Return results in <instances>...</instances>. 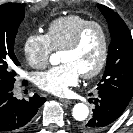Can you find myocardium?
<instances>
[{
  "instance_id": "obj_1",
  "label": "myocardium",
  "mask_w": 133,
  "mask_h": 133,
  "mask_svg": "<svg viewBox=\"0 0 133 133\" xmlns=\"http://www.w3.org/2000/svg\"><path fill=\"white\" fill-rule=\"evenodd\" d=\"M91 28H97L100 31L102 36V49L97 65L92 70L81 74V76L85 79H91L99 75L107 64L109 57L110 39L106 27L98 21H88L77 31L71 41L62 48L63 51H72L77 49L82 43L87 31Z\"/></svg>"
}]
</instances>
